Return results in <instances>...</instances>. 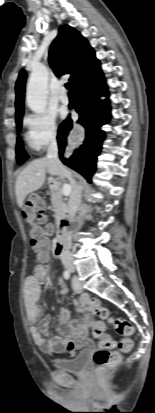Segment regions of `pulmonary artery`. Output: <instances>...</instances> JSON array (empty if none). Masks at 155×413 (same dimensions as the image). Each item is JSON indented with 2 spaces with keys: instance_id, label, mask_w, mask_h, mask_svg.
<instances>
[{
  "instance_id": "obj_1",
  "label": "pulmonary artery",
  "mask_w": 155,
  "mask_h": 413,
  "mask_svg": "<svg viewBox=\"0 0 155 413\" xmlns=\"http://www.w3.org/2000/svg\"><path fill=\"white\" fill-rule=\"evenodd\" d=\"M59 98L63 104H66V105L69 104V97L64 87H62L59 91Z\"/></svg>"
}]
</instances>
